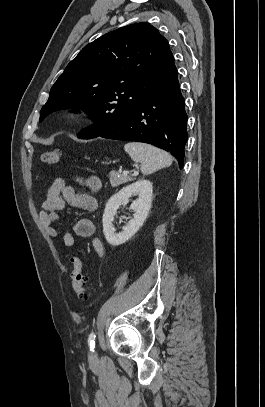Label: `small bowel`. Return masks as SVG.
<instances>
[{"label": "small bowel", "mask_w": 265, "mask_h": 407, "mask_svg": "<svg viewBox=\"0 0 265 407\" xmlns=\"http://www.w3.org/2000/svg\"><path fill=\"white\" fill-rule=\"evenodd\" d=\"M78 182L93 193L99 192L102 188L101 179L95 175L84 180L80 179ZM67 204L86 211H93L96 208V201L93 196L76 193L74 188L67 184L64 179L57 178L49 187L39 214L40 222L49 238H55L60 234L57 223L66 215ZM94 234L95 224L93 221L80 218L73 223L72 232L66 230L62 233V241L66 247H73L75 245L74 235L82 238H92L94 250L99 256H102L103 244L98 238L94 237Z\"/></svg>", "instance_id": "small-bowel-1"}]
</instances>
